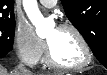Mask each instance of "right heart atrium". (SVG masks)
Wrapping results in <instances>:
<instances>
[{"instance_id":"right-heart-atrium-1","label":"right heart atrium","mask_w":107,"mask_h":75,"mask_svg":"<svg viewBox=\"0 0 107 75\" xmlns=\"http://www.w3.org/2000/svg\"><path fill=\"white\" fill-rule=\"evenodd\" d=\"M14 46L19 58L28 65H36L45 53L44 42L27 24H18L14 35Z\"/></svg>"}]
</instances>
